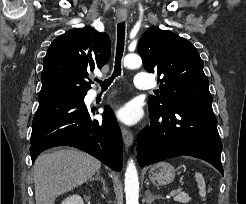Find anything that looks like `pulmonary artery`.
I'll list each match as a JSON object with an SVG mask.
<instances>
[{"label":"pulmonary artery","mask_w":246,"mask_h":204,"mask_svg":"<svg viewBox=\"0 0 246 204\" xmlns=\"http://www.w3.org/2000/svg\"><path fill=\"white\" fill-rule=\"evenodd\" d=\"M134 85L137 89L148 90L152 87V79L146 72H139L134 77ZM98 95L97 92H93L91 96L95 98Z\"/></svg>","instance_id":"1"}]
</instances>
